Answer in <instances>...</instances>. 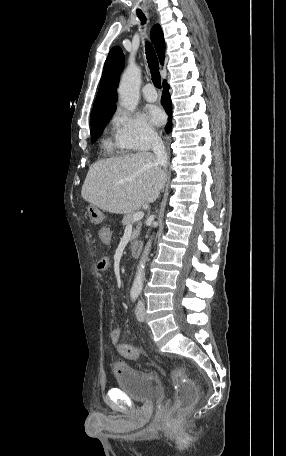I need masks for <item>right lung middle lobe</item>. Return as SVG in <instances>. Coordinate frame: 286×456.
<instances>
[{
	"label": "right lung middle lobe",
	"mask_w": 286,
	"mask_h": 456,
	"mask_svg": "<svg viewBox=\"0 0 286 456\" xmlns=\"http://www.w3.org/2000/svg\"><path fill=\"white\" fill-rule=\"evenodd\" d=\"M115 110H112L100 117H98L97 119L93 120L90 122V125H91V141L92 143L95 142L99 137L100 135L102 134L103 132V129L105 128V126L107 125V123L109 122L111 116L113 115Z\"/></svg>",
	"instance_id": "1"
}]
</instances>
